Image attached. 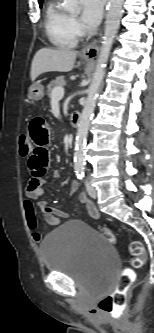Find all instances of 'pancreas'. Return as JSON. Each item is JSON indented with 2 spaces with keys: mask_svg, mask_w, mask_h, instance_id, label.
Instances as JSON below:
<instances>
[{
  "mask_svg": "<svg viewBox=\"0 0 154 333\" xmlns=\"http://www.w3.org/2000/svg\"><path fill=\"white\" fill-rule=\"evenodd\" d=\"M65 85L64 76H59L55 80L51 81L47 86V95L51 97L52 91L55 87Z\"/></svg>",
  "mask_w": 154,
  "mask_h": 333,
  "instance_id": "1",
  "label": "pancreas"
}]
</instances>
